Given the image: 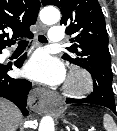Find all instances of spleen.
Wrapping results in <instances>:
<instances>
[{
  "label": "spleen",
  "mask_w": 117,
  "mask_h": 131,
  "mask_svg": "<svg viewBox=\"0 0 117 131\" xmlns=\"http://www.w3.org/2000/svg\"><path fill=\"white\" fill-rule=\"evenodd\" d=\"M103 126L106 131H117V126L109 114H105L103 117Z\"/></svg>",
  "instance_id": "spleen-1"
}]
</instances>
